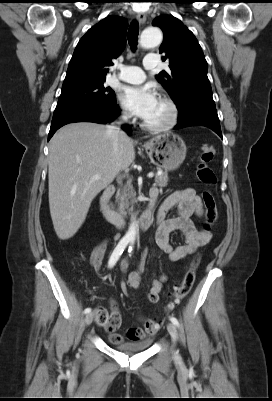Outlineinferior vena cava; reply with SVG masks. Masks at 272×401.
<instances>
[{
  "mask_svg": "<svg viewBox=\"0 0 272 401\" xmlns=\"http://www.w3.org/2000/svg\"><path fill=\"white\" fill-rule=\"evenodd\" d=\"M128 113L124 112L121 117L107 127V132L110 134L112 139L113 152H118L119 140L126 139L128 136L124 131L121 130V125L128 120Z\"/></svg>",
  "mask_w": 272,
  "mask_h": 401,
  "instance_id": "obj_1",
  "label": "inferior vena cava"
}]
</instances>
